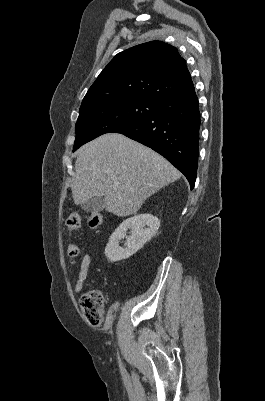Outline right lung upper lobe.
<instances>
[{
    "label": "right lung upper lobe",
    "instance_id": "right-lung-upper-lobe-1",
    "mask_svg": "<svg viewBox=\"0 0 265 401\" xmlns=\"http://www.w3.org/2000/svg\"><path fill=\"white\" fill-rule=\"evenodd\" d=\"M193 88L186 62L177 48L151 41L118 53L99 74L81 106L132 98L161 103Z\"/></svg>",
    "mask_w": 265,
    "mask_h": 401
}]
</instances>
